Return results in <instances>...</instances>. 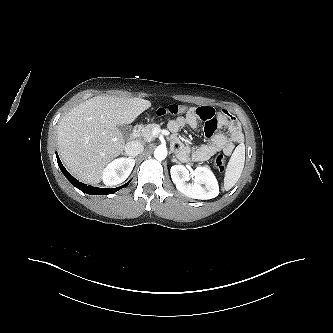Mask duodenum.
<instances>
[{
    "label": "duodenum",
    "instance_id": "duodenum-1",
    "mask_svg": "<svg viewBox=\"0 0 333 333\" xmlns=\"http://www.w3.org/2000/svg\"><path fill=\"white\" fill-rule=\"evenodd\" d=\"M142 128H143L142 124L135 125L132 131V138H137L140 135Z\"/></svg>",
    "mask_w": 333,
    "mask_h": 333
}]
</instances>
